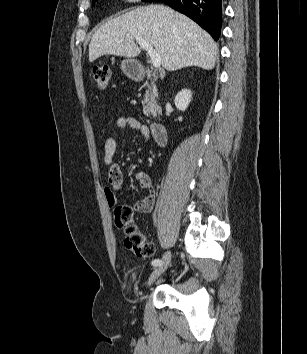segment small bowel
I'll return each mask as SVG.
<instances>
[{
  "instance_id": "1",
  "label": "small bowel",
  "mask_w": 307,
  "mask_h": 354,
  "mask_svg": "<svg viewBox=\"0 0 307 354\" xmlns=\"http://www.w3.org/2000/svg\"><path fill=\"white\" fill-rule=\"evenodd\" d=\"M118 129L131 128L137 130L143 139H147L150 135L148 126L141 123L137 119L129 116L120 117L116 121ZM104 165L107 168V185L104 187V194L106 202L110 207L117 204L115 192L122 187L123 176L119 166L114 162V155L117 149V141L113 137H107L104 141ZM135 179L139 183L140 188L147 189L148 194L140 201L133 205V208L140 213H148L152 210L155 200L156 192L151 185L150 176L145 172H138Z\"/></svg>"
}]
</instances>
